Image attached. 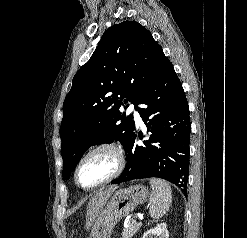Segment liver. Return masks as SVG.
I'll return each instance as SVG.
<instances>
[{
	"label": "liver",
	"mask_w": 247,
	"mask_h": 238,
	"mask_svg": "<svg viewBox=\"0 0 247 238\" xmlns=\"http://www.w3.org/2000/svg\"><path fill=\"white\" fill-rule=\"evenodd\" d=\"M117 189L116 185L110 186L102 191H99L88 203L86 225L90 227L94 220L101 213L105 203L112 195V193Z\"/></svg>",
	"instance_id": "6515ba94"
}]
</instances>
